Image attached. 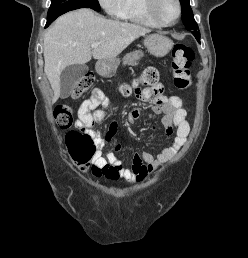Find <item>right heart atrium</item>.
<instances>
[{
	"instance_id": "obj_1",
	"label": "right heart atrium",
	"mask_w": 248,
	"mask_h": 258,
	"mask_svg": "<svg viewBox=\"0 0 248 258\" xmlns=\"http://www.w3.org/2000/svg\"><path fill=\"white\" fill-rule=\"evenodd\" d=\"M101 7L111 17H120L123 9L125 0H98Z\"/></svg>"
}]
</instances>
